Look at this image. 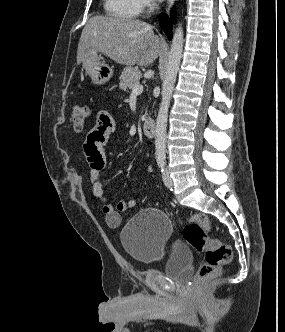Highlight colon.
<instances>
[{
  "label": "colon",
  "instance_id": "obj_1",
  "mask_svg": "<svg viewBox=\"0 0 285 332\" xmlns=\"http://www.w3.org/2000/svg\"><path fill=\"white\" fill-rule=\"evenodd\" d=\"M87 118L88 109L85 106H75L71 114L74 130L81 132L85 128ZM210 227V220L205 214L193 215L183 226V236L188 244L196 251L205 253V261L197 274L199 281L206 280L218 273L230 263L232 258V250L228 244L209 237Z\"/></svg>",
  "mask_w": 285,
  "mask_h": 332
}]
</instances>
